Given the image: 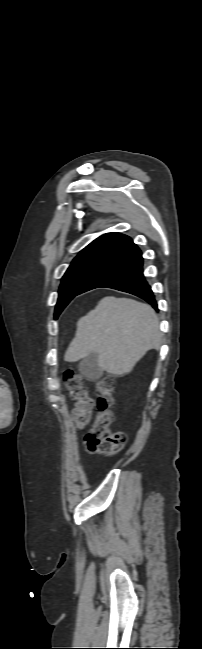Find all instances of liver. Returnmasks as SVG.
<instances>
[{
	"instance_id": "liver-1",
	"label": "liver",
	"mask_w": 202,
	"mask_h": 649,
	"mask_svg": "<svg viewBox=\"0 0 202 649\" xmlns=\"http://www.w3.org/2000/svg\"><path fill=\"white\" fill-rule=\"evenodd\" d=\"M160 346L159 321L152 307L133 299L105 297L77 322L64 360L77 362L94 352L101 368L122 376L147 351Z\"/></svg>"
}]
</instances>
